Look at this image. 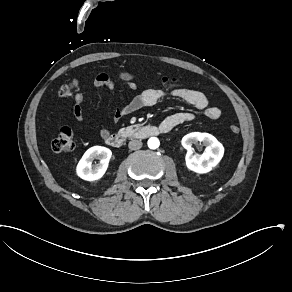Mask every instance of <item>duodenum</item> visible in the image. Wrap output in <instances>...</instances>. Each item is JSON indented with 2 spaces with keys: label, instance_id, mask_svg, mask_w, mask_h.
I'll return each instance as SVG.
<instances>
[{
  "label": "duodenum",
  "instance_id": "obj_1",
  "mask_svg": "<svg viewBox=\"0 0 292 292\" xmlns=\"http://www.w3.org/2000/svg\"><path fill=\"white\" fill-rule=\"evenodd\" d=\"M172 130L168 125L159 127H141L133 135L138 139H145L154 135L165 134ZM107 143L113 148H120L124 142L122 136L118 133L110 134L106 138Z\"/></svg>",
  "mask_w": 292,
  "mask_h": 292
}]
</instances>
